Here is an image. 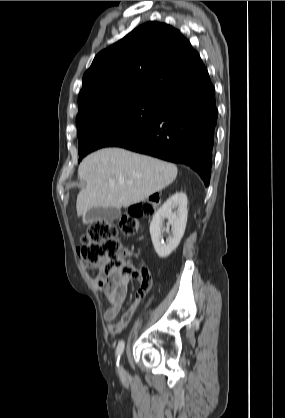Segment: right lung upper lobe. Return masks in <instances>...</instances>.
<instances>
[{"label":"right lung upper lobe","instance_id":"right-lung-upper-lobe-1","mask_svg":"<svg viewBox=\"0 0 285 418\" xmlns=\"http://www.w3.org/2000/svg\"><path fill=\"white\" fill-rule=\"evenodd\" d=\"M207 74L198 52L179 30L147 22L94 58L83 76L76 122L113 105L163 104Z\"/></svg>","mask_w":285,"mask_h":418}]
</instances>
